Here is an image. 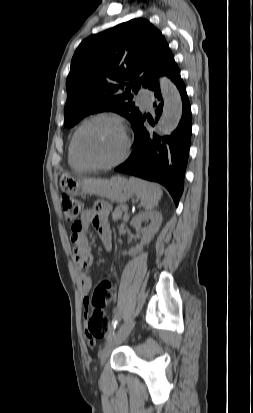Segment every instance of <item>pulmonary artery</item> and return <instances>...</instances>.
<instances>
[{
  "mask_svg": "<svg viewBox=\"0 0 253 413\" xmlns=\"http://www.w3.org/2000/svg\"><path fill=\"white\" fill-rule=\"evenodd\" d=\"M138 100L141 103V106L143 108H150L152 105V99L151 96L149 94V92L147 90H140L137 96Z\"/></svg>",
  "mask_w": 253,
  "mask_h": 413,
  "instance_id": "e3ab8cb5",
  "label": "pulmonary artery"
}]
</instances>
